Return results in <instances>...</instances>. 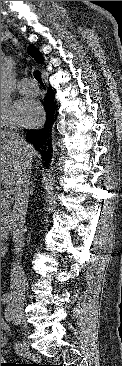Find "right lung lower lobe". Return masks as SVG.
I'll use <instances>...</instances> for the list:
<instances>
[{"label": "right lung lower lobe", "mask_w": 122, "mask_h": 366, "mask_svg": "<svg viewBox=\"0 0 122 366\" xmlns=\"http://www.w3.org/2000/svg\"><path fill=\"white\" fill-rule=\"evenodd\" d=\"M56 102L54 101V92L51 88L48 89L44 99V108L46 111V122L44 127L39 130H28L26 139L41 151L44 161V166L47 168L52 156V128L56 121ZM42 148L43 150H40Z\"/></svg>", "instance_id": "1"}]
</instances>
